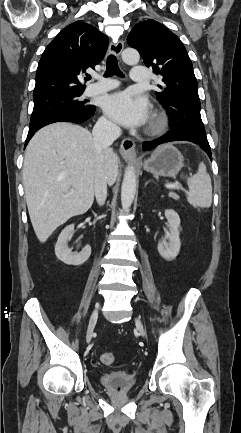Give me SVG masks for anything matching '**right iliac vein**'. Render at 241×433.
<instances>
[{
	"label": "right iliac vein",
	"instance_id": "63e3f726",
	"mask_svg": "<svg viewBox=\"0 0 241 433\" xmlns=\"http://www.w3.org/2000/svg\"><path fill=\"white\" fill-rule=\"evenodd\" d=\"M98 309H99V303L97 302L95 305V309L92 312V315H91L90 320H89V325H88L87 335H86L87 343H89L91 338H92L94 326H95V324L97 322V318H98Z\"/></svg>",
	"mask_w": 241,
	"mask_h": 433
}]
</instances>
